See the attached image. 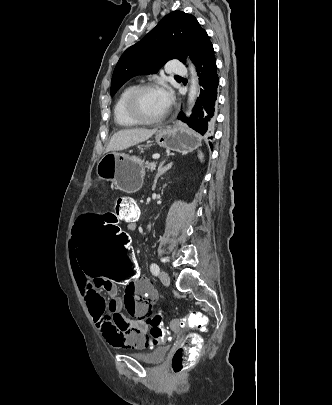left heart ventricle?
<instances>
[{"label": "left heart ventricle", "mask_w": 332, "mask_h": 405, "mask_svg": "<svg viewBox=\"0 0 332 405\" xmlns=\"http://www.w3.org/2000/svg\"><path fill=\"white\" fill-rule=\"evenodd\" d=\"M138 110L145 118H156L167 112L159 89L148 90L141 94L138 100Z\"/></svg>", "instance_id": "obj_1"}]
</instances>
